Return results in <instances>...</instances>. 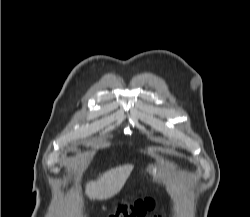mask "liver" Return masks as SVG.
Listing matches in <instances>:
<instances>
[{
  "label": "liver",
  "instance_id": "obj_1",
  "mask_svg": "<svg viewBox=\"0 0 250 217\" xmlns=\"http://www.w3.org/2000/svg\"><path fill=\"white\" fill-rule=\"evenodd\" d=\"M133 165L112 168L86 185L85 193L91 200H106L118 194L127 181Z\"/></svg>",
  "mask_w": 250,
  "mask_h": 217
}]
</instances>
